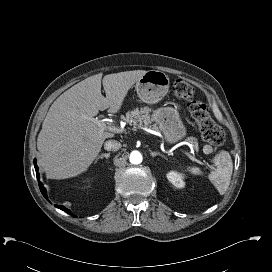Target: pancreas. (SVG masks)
<instances>
[{
	"mask_svg": "<svg viewBox=\"0 0 272 272\" xmlns=\"http://www.w3.org/2000/svg\"><path fill=\"white\" fill-rule=\"evenodd\" d=\"M150 109L148 107H144L141 109H134L126 113L125 121L130 125H139L144 126L151 129H156L155 125H151L153 118L150 117ZM193 145L195 150H198V142L194 137L188 138Z\"/></svg>",
	"mask_w": 272,
	"mask_h": 272,
	"instance_id": "pancreas-1",
	"label": "pancreas"
}]
</instances>
